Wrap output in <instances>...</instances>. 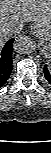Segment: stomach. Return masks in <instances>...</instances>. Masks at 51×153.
Here are the masks:
<instances>
[{
	"instance_id": "stomach-1",
	"label": "stomach",
	"mask_w": 51,
	"mask_h": 153,
	"mask_svg": "<svg viewBox=\"0 0 51 153\" xmlns=\"http://www.w3.org/2000/svg\"><path fill=\"white\" fill-rule=\"evenodd\" d=\"M37 37L40 40V44L44 51H49L51 49V24L50 26H44L42 24H36Z\"/></svg>"
}]
</instances>
